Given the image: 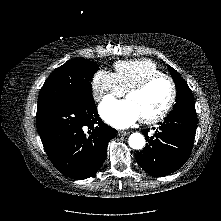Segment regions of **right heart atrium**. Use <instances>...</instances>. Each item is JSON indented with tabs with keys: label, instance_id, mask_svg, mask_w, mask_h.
<instances>
[{
	"label": "right heart atrium",
	"instance_id": "1",
	"mask_svg": "<svg viewBox=\"0 0 221 221\" xmlns=\"http://www.w3.org/2000/svg\"><path fill=\"white\" fill-rule=\"evenodd\" d=\"M92 91L97 101L120 97L124 94L114 73L99 70L92 79Z\"/></svg>",
	"mask_w": 221,
	"mask_h": 221
}]
</instances>
